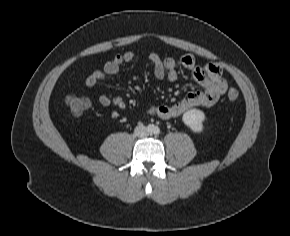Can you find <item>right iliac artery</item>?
Returning a JSON list of instances; mask_svg holds the SVG:
<instances>
[{
	"instance_id": "obj_1",
	"label": "right iliac artery",
	"mask_w": 290,
	"mask_h": 236,
	"mask_svg": "<svg viewBox=\"0 0 290 236\" xmlns=\"http://www.w3.org/2000/svg\"><path fill=\"white\" fill-rule=\"evenodd\" d=\"M148 130L152 131L153 130V125H148Z\"/></svg>"
}]
</instances>
